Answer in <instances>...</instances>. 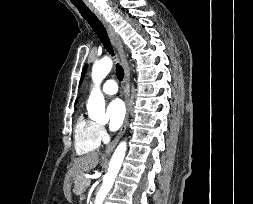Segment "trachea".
Listing matches in <instances>:
<instances>
[{
	"instance_id": "obj_1",
	"label": "trachea",
	"mask_w": 253,
	"mask_h": 204,
	"mask_svg": "<svg viewBox=\"0 0 253 204\" xmlns=\"http://www.w3.org/2000/svg\"><path fill=\"white\" fill-rule=\"evenodd\" d=\"M75 7L79 10L80 14L84 17V19L87 20L95 34L98 36V38L104 45L105 49L109 52V54L113 55V49L110 40L100 20L85 4L75 5ZM116 75L120 81L123 80L124 70L121 65L116 66Z\"/></svg>"
}]
</instances>
